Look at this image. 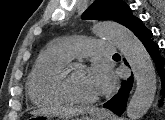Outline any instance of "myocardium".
Masks as SVG:
<instances>
[{
    "label": "myocardium",
    "mask_w": 165,
    "mask_h": 120,
    "mask_svg": "<svg viewBox=\"0 0 165 120\" xmlns=\"http://www.w3.org/2000/svg\"><path fill=\"white\" fill-rule=\"evenodd\" d=\"M86 66L81 62H68L61 70L58 78V89L61 95L71 103L92 105L100 100V97L95 98H81L76 96L70 89L69 81L70 75L74 70H83Z\"/></svg>",
    "instance_id": "obj_1"
}]
</instances>
